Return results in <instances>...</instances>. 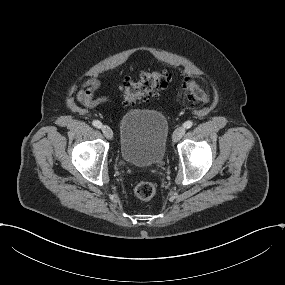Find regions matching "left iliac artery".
<instances>
[{"label":"left iliac artery","instance_id":"44dca946","mask_svg":"<svg viewBox=\"0 0 285 285\" xmlns=\"http://www.w3.org/2000/svg\"><path fill=\"white\" fill-rule=\"evenodd\" d=\"M193 125V122L192 121H186L184 124H183V127L185 129H188V128H191Z\"/></svg>","mask_w":285,"mask_h":285}]
</instances>
